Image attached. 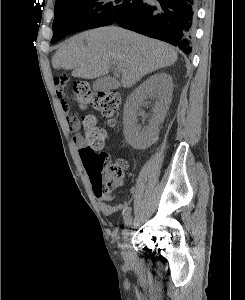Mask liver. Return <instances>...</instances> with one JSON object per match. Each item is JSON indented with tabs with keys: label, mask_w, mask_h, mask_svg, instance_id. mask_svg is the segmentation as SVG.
I'll use <instances>...</instances> for the list:
<instances>
[{
	"label": "liver",
	"mask_w": 245,
	"mask_h": 300,
	"mask_svg": "<svg viewBox=\"0 0 245 300\" xmlns=\"http://www.w3.org/2000/svg\"><path fill=\"white\" fill-rule=\"evenodd\" d=\"M168 44L119 27L82 32L65 41L52 58L54 69L73 70L72 76L94 79L108 74L111 65L122 73L129 88L146 74L177 61Z\"/></svg>",
	"instance_id": "6515ba94"
}]
</instances>
